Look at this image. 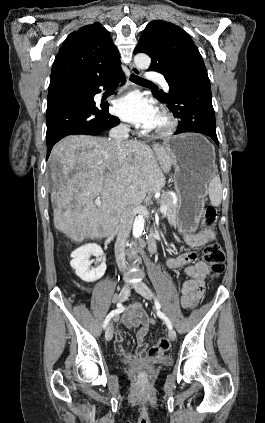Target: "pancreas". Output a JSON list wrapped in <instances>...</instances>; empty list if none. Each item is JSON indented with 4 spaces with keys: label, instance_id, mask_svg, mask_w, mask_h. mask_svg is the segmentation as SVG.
<instances>
[{
    "label": "pancreas",
    "instance_id": "obj_1",
    "mask_svg": "<svg viewBox=\"0 0 265 423\" xmlns=\"http://www.w3.org/2000/svg\"><path fill=\"white\" fill-rule=\"evenodd\" d=\"M159 203L167 207L165 216L170 224H176L177 203H174V198L167 193H162Z\"/></svg>",
    "mask_w": 265,
    "mask_h": 423
}]
</instances>
